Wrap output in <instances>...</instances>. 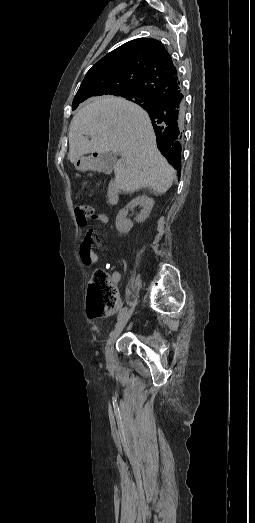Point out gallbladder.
Listing matches in <instances>:
<instances>
[{"instance_id": "1", "label": "gallbladder", "mask_w": 255, "mask_h": 523, "mask_svg": "<svg viewBox=\"0 0 255 523\" xmlns=\"http://www.w3.org/2000/svg\"><path fill=\"white\" fill-rule=\"evenodd\" d=\"M101 160H103L104 164H114L115 162V158L112 154H101Z\"/></svg>"}]
</instances>
